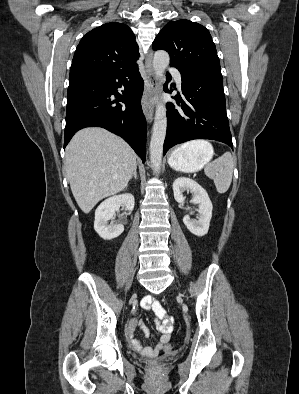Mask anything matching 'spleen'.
Instances as JSON below:
<instances>
[{
  "label": "spleen",
  "mask_w": 299,
  "mask_h": 394,
  "mask_svg": "<svg viewBox=\"0 0 299 394\" xmlns=\"http://www.w3.org/2000/svg\"><path fill=\"white\" fill-rule=\"evenodd\" d=\"M187 145H203L212 147L210 143L203 140L192 141L183 146ZM233 169V157L231 153L226 152L221 157L215 159L213 162L208 163L204 168V172L207 177L213 179L217 192L220 194H224L227 192L231 185Z\"/></svg>",
  "instance_id": "spleen-1"
}]
</instances>
